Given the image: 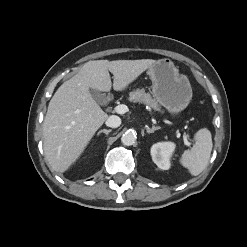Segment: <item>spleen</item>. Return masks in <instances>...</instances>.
<instances>
[{"instance_id": "obj_1", "label": "spleen", "mask_w": 247, "mask_h": 247, "mask_svg": "<svg viewBox=\"0 0 247 247\" xmlns=\"http://www.w3.org/2000/svg\"><path fill=\"white\" fill-rule=\"evenodd\" d=\"M195 144L191 150H186L180 159L181 164L186 167L193 176L199 175L206 167L213 143L210 131L202 128L194 135Z\"/></svg>"}]
</instances>
